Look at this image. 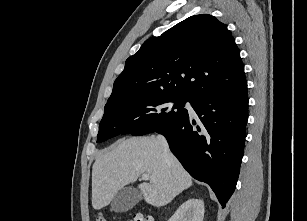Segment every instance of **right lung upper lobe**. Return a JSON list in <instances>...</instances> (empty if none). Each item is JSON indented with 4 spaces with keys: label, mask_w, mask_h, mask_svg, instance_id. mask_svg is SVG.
<instances>
[{
    "label": "right lung upper lobe",
    "mask_w": 307,
    "mask_h": 221,
    "mask_svg": "<svg viewBox=\"0 0 307 221\" xmlns=\"http://www.w3.org/2000/svg\"><path fill=\"white\" fill-rule=\"evenodd\" d=\"M246 84L238 47L214 16H191L148 39L125 62L107 104L124 97L164 93L191 101Z\"/></svg>",
    "instance_id": "right-lung-upper-lobe-1"
}]
</instances>
